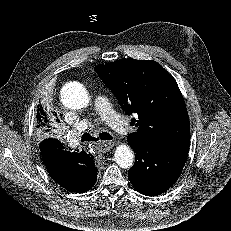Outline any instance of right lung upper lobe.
Wrapping results in <instances>:
<instances>
[{"instance_id": "right-lung-upper-lobe-1", "label": "right lung upper lobe", "mask_w": 231, "mask_h": 231, "mask_svg": "<svg viewBox=\"0 0 231 231\" xmlns=\"http://www.w3.org/2000/svg\"><path fill=\"white\" fill-rule=\"evenodd\" d=\"M37 123L39 124V129L41 131L45 130L47 125H49V119L47 118V114L42 108V106L38 105L37 108ZM49 127V126H48ZM47 131V130H46ZM46 140H55V139H46ZM44 141V140H43ZM66 148V147H65ZM67 149V148H66ZM71 149H67L66 154H70V157H66V159L61 160L57 163H48L47 161H43L47 170L50 172H54L56 176L61 178L62 183L66 184H74L77 180L76 174L78 163L86 164L80 158V154L77 152H70Z\"/></svg>"}]
</instances>
